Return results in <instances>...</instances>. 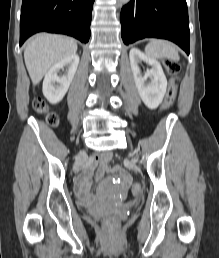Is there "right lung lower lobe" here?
<instances>
[{
	"mask_svg": "<svg viewBox=\"0 0 219 258\" xmlns=\"http://www.w3.org/2000/svg\"><path fill=\"white\" fill-rule=\"evenodd\" d=\"M93 3L94 0H23L20 45L41 31L66 34L87 43Z\"/></svg>",
	"mask_w": 219,
	"mask_h": 258,
	"instance_id": "1",
	"label": "right lung lower lobe"
}]
</instances>
